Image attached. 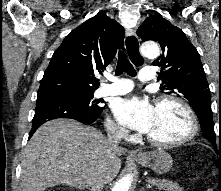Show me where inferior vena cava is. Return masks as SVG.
Segmentation results:
<instances>
[{"label":"inferior vena cava","instance_id":"obj_1","mask_svg":"<svg viewBox=\"0 0 221 191\" xmlns=\"http://www.w3.org/2000/svg\"><path fill=\"white\" fill-rule=\"evenodd\" d=\"M121 132L119 130H112L107 134V140L113 147L117 146L120 141ZM104 184H106L103 177H98L93 180L91 191H102Z\"/></svg>","mask_w":221,"mask_h":191}]
</instances>
